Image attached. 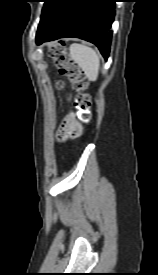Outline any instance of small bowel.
Returning a JSON list of instances; mask_svg holds the SVG:
<instances>
[{
	"label": "small bowel",
	"mask_w": 158,
	"mask_h": 275,
	"mask_svg": "<svg viewBox=\"0 0 158 275\" xmlns=\"http://www.w3.org/2000/svg\"><path fill=\"white\" fill-rule=\"evenodd\" d=\"M82 131V125L77 121L75 114L70 112L64 118L59 129V138L65 139L67 137H76Z\"/></svg>",
	"instance_id": "small-bowel-1"
}]
</instances>
